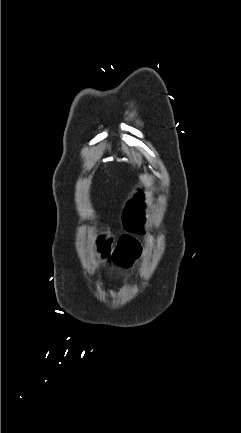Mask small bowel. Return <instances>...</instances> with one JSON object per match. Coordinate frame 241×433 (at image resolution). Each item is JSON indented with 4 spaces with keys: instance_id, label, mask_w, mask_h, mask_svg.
<instances>
[{
    "instance_id": "obj_1",
    "label": "small bowel",
    "mask_w": 241,
    "mask_h": 433,
    "mask_svg": "<svg viewBox=\"0 0 241 433\" xmlns=\"http://www.w3.org/2000/svg\"><path fill=\"white\" fill-rule=\"evenodd\" d=\"M142 181H145V180H142ZM150 188V187H149ZM148 191H149V189L147 190V192L145 193L146 195L148 194ZM138 193H140V192H138ZM142 195H144V194H142Z\"/></svg>"
}]
</instances>
